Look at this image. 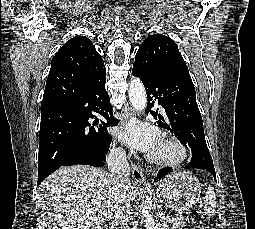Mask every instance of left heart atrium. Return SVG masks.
Returning <instances> with one entry per match:
<instances>
[{"label":"left heart atrium","instance_id":"left-heart-atrium-1","mask_svg":"<svg viewBox=\"0 0 255 229\" xmlns=\"http://www.w3.org/2000/svg\"><path fill=\"white\" fill-rule=\"evenodd\" d=\"M119 136L130 146L149 154H153L161 142L155 128L139 122L129 123Z\"/></svg>","mask_w":255,"mask_h":229}]
</instances>
